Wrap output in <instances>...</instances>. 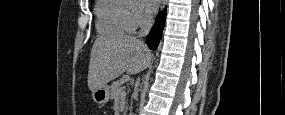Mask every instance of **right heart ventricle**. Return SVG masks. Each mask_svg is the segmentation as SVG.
<instances>
[{
    "label": "right heart ventricle",
    "mask_w": 285,
    "mask_h": 115,
    "mask_svg": "<svg viewBox=\"0 0 285 115\" xmlns=\"http://www.w3.org/2000/svg\"><path fill=\"white\" fill-rule=\"evenodd\" d=\"M96 28L101 36L113 37L129 32V11L117 0L99 1Z\"/></svg>",
    "instance_id": "1"
}]
</instances>
